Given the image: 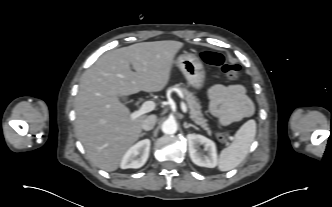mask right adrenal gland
<instances>
[{
    "label": "right adrenal gland",
    "mask_w": 332,
    "mask_h": 207,
    "mask_svg": "<svg viewBox=\"0 0 332 207\" xmlns=\"http://www.w3.org/2000/svg\"><path fill=\"white\" fill-rule=\"evenodd\" d=\"M147 133L146 132H143V133H141V137H143L144 135H146Z\"/></svg>",
    "instance_id": "obj_1"
}]
</instances>
